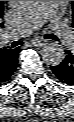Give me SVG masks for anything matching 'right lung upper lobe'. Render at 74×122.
Listing matches in <instances>:
<instances>
[{
	"instance_id": "cb5924a9",
	"label": "right lung upper lobe",
	"mask_w": 74,
	"mask_h": 122,
	"mask_svg": "<svg viewBox=\"0 0 74 122\" xmlns=\"http://www.w3.org/2000/svg\"><path fill=\"white\" fill-rule=\"evenodd\" d=\"M3 1H0V19L2 18V14H3ZM2 26V23L0 22V27ZM10 48H7V49H1L0 48V59L2 58V56L4 54H7L10 52Z\"/></svg>"
}]
</instances>
